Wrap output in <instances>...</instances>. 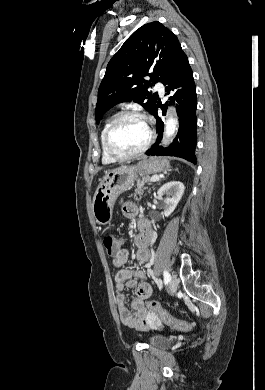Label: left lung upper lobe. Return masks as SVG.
Wrapping results in <instances>:
<instances>
[{
    "instance_id": "5c2ea615",
    "label": "left lung upper lobe",
    "mask_w": 265,
    "mask_h": 390,
    "mask_svg": "<svg viewBox=\"0 0 265 390\" xmlns=\"http://www.w3.org/2000/svg\"><path fill=\"white\" fill-rule=\"evenodd\" d=\"M182 52L176 35L160 22L137 29L107 65L98 90L96 121L121 102L134 101L153 114L158 96L148 88L165 81ZM147 75L150 81L143 78Z\"/></svg>"
}]
</instances>
